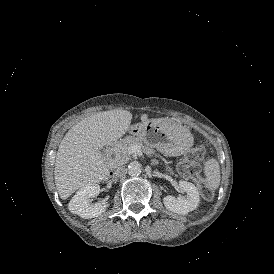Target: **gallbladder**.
Wrapping results in <instances>:
<instances>
[{
	"mask_svg": "<svg viewBox=\"0 0 274 274\" xmlns=\"http://www.w3.org/2000/svg\"><path fill=\"white\" fill-rule=\"evenodd\" d=\"M100 152H101L102 155H105V149H103V148L100 149Z\"/></svg>",
	"mask_w": 274,
	"mask_h": 274,
	"instance_id": "1",
	"label": "gallbladder"
}]
</instances>
